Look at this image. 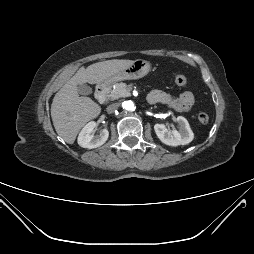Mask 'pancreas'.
Instances as JSON below:
<instances>
[{"instance_id": "obj_1", "label": "pancreas", "mask_w": 254, "mask_h": 254, "mask_svg": "<svg viewBox=\"0 0 254 254\" xmlns=\"http://www.w3.org/2000/svg\"><path fill=\"white\" fill-rule=\"evenodd\" d=\"M132 87L126 83H116L113 88L108 92L107 97L110 100H116L122 97L130 96Z\"/></svg>"}]
</instances>
